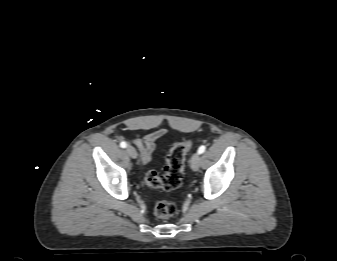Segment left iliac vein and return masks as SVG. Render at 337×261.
Wrapping results in <instances>:
<instances>
[{
  "label": "left iliac vein",
  "mask_w": 337,
  "mask_h": 261,
  "mask_svg": "<svg viewBox=\"0 0 337 261\" xmlns=\"http://www.w3.org/2000/svg\"><path fill=\"white\" fill-rule=\"evenodd\" d=\"M199 164H200V154L194 153L193 156L191 157L190 160V166L192 170L197 171L199 169Z\"/></svg>",
  "instance_id": "4c4485c4"
}]
</instances>
